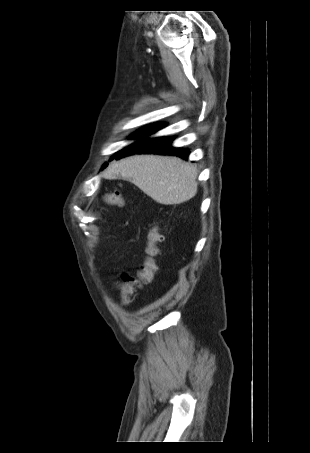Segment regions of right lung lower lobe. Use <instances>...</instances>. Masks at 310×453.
Wrapping results in <instances>:
<instances>
[{"label": "right lung lower lobe", "mask_w": 310, "mask_h": 453, "mask_svg": "<svg viewBox=\"0 0 310 453\" xmlns=\"http://www.w3.org/2000/svg\"><path fill=\"white\" fill-rule=\"evenodd\" d=\"M164 125L165 124L163 123L153 124L149 126L141 135H139L138 138L149 136L158 131ZM173 139H174L173 137H157L147 140H141L123 149L116 156V158L141 153H158L176 155L184 159H187L189 155V150L186 148L172 147L171 142L173 141Z\"/></svg>", "instance_id": "obj_1"}]
</instances>
